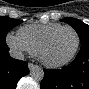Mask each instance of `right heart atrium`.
Segmentation results:
<instances>
[{
	"mask_svg": "<svg viewBox=\"0 0 89 89\" xmlns=\"http://www.w3.org/2000/svg\"><path fill=\"white\" fill-rule=\"evenodd\" d=\"M6 43L9 48L17 54L29 52L26 43L16 34L9 33L6 37Z\"/></svg>",
	"mask_w": 89,
	"mask_h": 89,
	"instance_id": "d8ad5b80",
	"label": "right heart atrium"
}]
</instances>
